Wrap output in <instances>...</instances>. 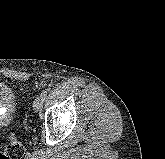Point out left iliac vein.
<instances>
[{"mask_svg":"<svg viewBox=\"0 0 165 159\" xmlns=\"http://www.w3.org/2000/svg\"><path fill=\"white\" fill-rule=\"evenodd\" d=\"M43 103L44 99L41 96L37 97L33 103V109L35 111H40L42 109Z\"/></svg>","mask_w":165,"mask_h":159,"instance_id":"left-iliac-vein-1","label":"left iliac vein"}]
</instances>
